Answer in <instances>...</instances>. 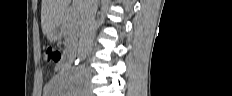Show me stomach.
Listing matches in <instances>:
<instances>
[{"instance_id":"1","label":"stomach","mask_w":232,"mask_h":96,"mask_svg":"<svg viewBox=\"0 0 232 96\" xmlns=\"http://www.w3.org/2000/svg\"><path fill=\"white\" fill-rule=\"evenodd\" d=\"M62 32L59 28L54 29L50 33H48L47 37L50 42H55L61 38Z\"/></svg>"}]
</instances>
